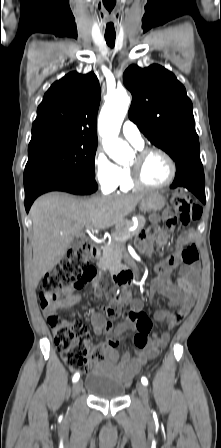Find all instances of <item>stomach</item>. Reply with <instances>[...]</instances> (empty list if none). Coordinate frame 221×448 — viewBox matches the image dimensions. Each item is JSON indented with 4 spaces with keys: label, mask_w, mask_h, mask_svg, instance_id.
I'll list each match as a JSON object with an SVG mask.
<instances>
[{
    "label": "stomach",
    "mask_w": 221,
    "mask_h": 448,
    "mask_svg": "<svg viewBox=\"0 0 221 448\" xmlns=\"http://www.w3.org/2000/svg\"><path fill=\"white\" fill-rule=\"evenodd\" d=\"M166 204V198L160 193H151L149 194L142 202L141 209L144 212H157L160 211ZM126 224L125 222H121L118 224V228H123Z\"/></svg>",
    "instance_id": "0dacf381"
}]
</instances>
